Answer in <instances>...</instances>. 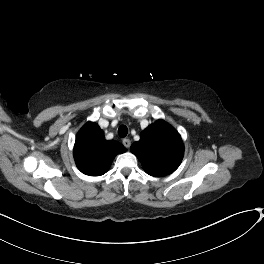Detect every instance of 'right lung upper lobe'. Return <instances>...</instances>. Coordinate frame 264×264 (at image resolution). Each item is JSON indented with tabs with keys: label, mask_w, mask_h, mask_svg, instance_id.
Masks as SVG:
<instances>
[{
	"label": "right lung upper lobe",
	"mask_w": 264,
	"mask_h": 264,
	"mask_svg": "<svg viewBox=\"0 0 264 264\" xmlns=\"http://www.w3.org/2000/svg\"><path fill=\"white\" fill-rule=\"evenodd\" d=\"M125 151L120 143L106 140L96 123L88 122L76 136L73 156L82 173L100 176L108 171L114 157Z\"/></svg>",
	"instance_id": "1"
}]
</instances>
